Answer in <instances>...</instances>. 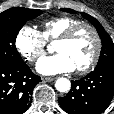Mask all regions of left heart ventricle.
Here are the masks:
<instances>
[{
  "mask_svg": "<svg viewBox=\"0 0 114 114\" xmlns=\"http://www.w3.org/2000/svg\"><path fill=\"white\" fill-rule=\"evenodd\" d=\"M95 40L90 31L80 30L70 41H58L55 51L67 55L76 68L85 65L93 55Z\"/></svg>",
  "mask_w": 114,
  "mask_h": 114,
  "instance_id": "obj_1",
  "label": "left heart ventricle"
}]
</instances>
